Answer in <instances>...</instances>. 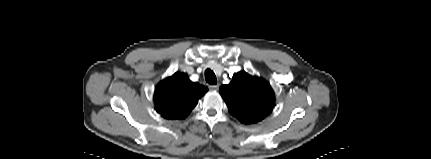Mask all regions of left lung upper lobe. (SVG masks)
Returning a JSON list of instances; mask_svg holds the SVG:
<instances>
[{
    "label": "left lung upper lobe",
    "instance_id": "1",
    "mask_svg": "<svg viewBox=\"0 0 431 159\" xmlns=\"http://www.w3.org/2000/svg\"><path fill=\"white\" fill-rule=\"evenodd\" d=\"M229 112L243 123H256L269 115L274 104V92L264 79L245 71L232 77V82L220 87Z\"/></svg>",
    "mask_w": 431,
    "mask_h": 159
}]
</instances>
